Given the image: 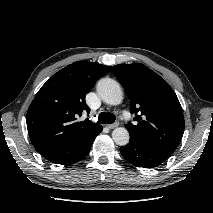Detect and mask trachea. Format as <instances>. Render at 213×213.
<instances>
[{
    "label": "trachea",
    "instance_id": "1",
    "mask_svg": "<svg viewBox=\"0 0 213 213\" xmlns=\"http://www.w3.org/2000/svg\"><path fill=\"white\" fill-rule=\"evenodd\" d=\"M100 124H112L115 122V116L110 112H101L98 116Z\"/></svg>",
    "mask_w": 213,
    "mask_h": 213
}]
</instances>
